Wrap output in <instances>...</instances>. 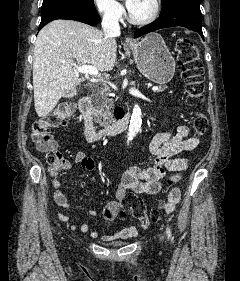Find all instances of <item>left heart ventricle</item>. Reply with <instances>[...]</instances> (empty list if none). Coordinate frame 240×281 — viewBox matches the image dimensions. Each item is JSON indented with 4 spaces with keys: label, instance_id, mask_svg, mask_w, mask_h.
Instances as JSON below:
<instances>
[{
    "label": "left heart ventricle",
    "instance_id": "obj_1",
    "mask_svg": "<svg viewBox=\"0 0 240 281\" xmlns=\"http://www.w3.org/2000/svg\"><path fill=\"white\" fill-rule=\"evenodd\" d=\"M151 9V0H137L134 7L130 10V13L135 18H145L150 14Z\"/></svg>",
    "mask_w": 240,
    "mask_h": 281
}]
</instances>
